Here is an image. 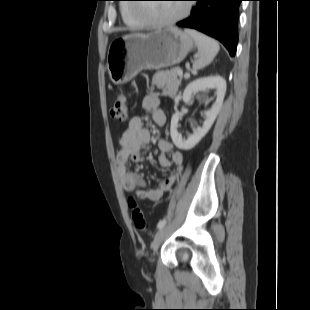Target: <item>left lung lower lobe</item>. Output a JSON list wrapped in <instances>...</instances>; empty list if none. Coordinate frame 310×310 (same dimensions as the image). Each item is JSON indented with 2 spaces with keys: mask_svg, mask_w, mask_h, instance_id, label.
Masks as SVG:
<instances>
[{
  "mask_svg": "<svg viewBox=\"0 0 310 310\" xmlns=\"http://www.w3.org/2000/svg\"><path fill=\"white\" fill-rule=\"evenodd\" d=\"M191 16L177 23L219 40L233 57L238 44L239 5L243 0H193Z\"/></svg>",
  "mask_w": 310,
  "mask_h": 310,
  "instance_id": "1",
  "label": "left lung lower lobe"
}]
</instances>
